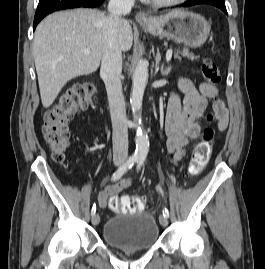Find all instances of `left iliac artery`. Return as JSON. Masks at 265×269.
Returning <instances> with one entry per match:
<instances>
[{
  "instance_id": "obj_1",
  "label": "left iliac artery",
  "mask_w": 265,
  "mask_h": 269,
  "mask_svg": "<svg viewBox=\"0 0 265 269\" xmlns=\"http://www.w3.org/2000/svg\"><path fill=\"white\" fill-rule=\"evenodd\" d=\"M144 160H145V157L144 156H141V157L138 158V161H137V171L140 170L142 164L144 163ZM157 190L163 195V190H162V188L160 186H157ZM163 215L165 217H167V218L169 217V211L166 208L163 210Z\"/></svg>"
}]
</instances>
